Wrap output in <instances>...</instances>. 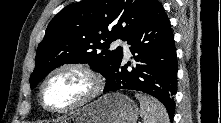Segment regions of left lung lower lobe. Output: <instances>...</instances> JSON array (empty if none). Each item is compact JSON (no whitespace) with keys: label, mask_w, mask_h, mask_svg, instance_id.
<instances>
[{"label":"left lung lower lobe","mask_w":221,"mask_h":123,"mask_svg":"<svg viewBox=\"0 0 221 123\" xmlns=\"http://www.w3.org/2000/svg\"><path fill=\"white\" fill-rule=\"evenodd\" d=\"M127 43L135 62L124 64L121 54L107 78L104 92L128 89L150 94L164 104L172 120L178 64L170 21L159 1Z\"/></svg>","instance_id":"obj_1"}]
</instances>
